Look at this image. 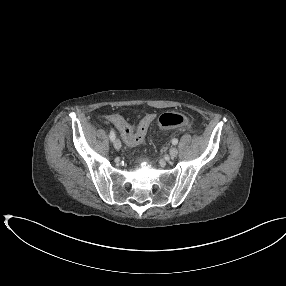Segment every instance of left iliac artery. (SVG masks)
Wrapping results in <instances>:
<instances>
[{
	"label": "left iliac artery",
	"instance_id": "44dca946",
	"mask_svg": "<svg viewBox=\"0 0 286 286\" xmlns=\"http://www.w3.org/2000/svg\"><path fill=\"white\" fill-rule=\"evenodd\" d=\"M177 143H178V140H177V139H173V140H172V144H173V145H176Z\"/></svg>",
	"mask_w": 286,
	"mask_h": 286
}]
</instances>
